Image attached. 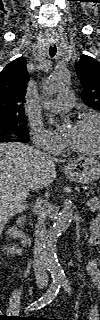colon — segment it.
<instances>
[{
  "label": "colon",
  "instance_id": "colon-1",
  "mask_svg": "<svg viewBox=\"0 0 100 320\" xmlns=\"http://www.w3.org/2000/svg\"><path fill=\"white\" fill-rule=\"evenodd\" d=\"M99 228L98 226H95L92 230V234L90 237V243L94 246H97L100 244V236L98 234Z\"/></svg>",
  "mask_w": 100,
  "mask_h": 320
}]
</instances>
